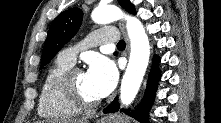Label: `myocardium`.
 <instances>
[{"label": "myocardium", "mask_w": 221, "mask_h": 123, "mask_svg": "<svg viewBox=\"0 0 221 123\" xmlns=\"http://www.w3.org/2000/svg\"><path fill=\"white\" fill-rule=\"evenodd\" d=\"M84 71L79 67H71L60 79V90L63 96L80 110H90L97 107L101 100L90 101L85 99L76 86V76Z\"/></svg>", "instance_id": "obj_1"}]
</instances>
